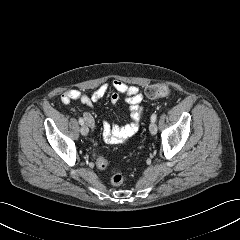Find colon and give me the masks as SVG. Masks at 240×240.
<instances>
[{
	"mask_svg": "<svg viewBox=\"0 0 240 240\" xmlns=\"http://www.w3.org/2000/svg\"><path fill=\"white\" fill-rule=\"evenodd\" d=\"M170 92V89L165 84H155L146 88L145 94L150 99L166 97ZM96 165L100 169H106L108 161L104 156H98ZM124 182V176L121 173H114L111 177V183L113 186H120Z\"/></svg>",
	"mask_w": 240,
	"mask_h": 240,
	"instance_id": "obj_1",
	"label": "colon"
}]
</instances>
